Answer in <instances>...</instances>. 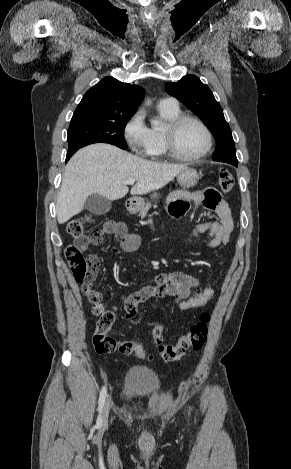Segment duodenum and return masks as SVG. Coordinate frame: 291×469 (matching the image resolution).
<instances>
[{
  "mask_svg": "<svg viewBox=\"0 0 291 469\" xmlns=\"http://www.w3.org/2000/svg\"><path fill=\"white\" fill-rule=\"evenodd\" d=\"M135 206H136V204H135L134 201L129 200V201L127 202V208H128L129 211H133V210L135 209Z\"/></svg>",
  "mask_w": 291,
  "mask_h": 469,
  "instance_id": "410a0bca",
  "label": "duodenum"
}]
</instances>
